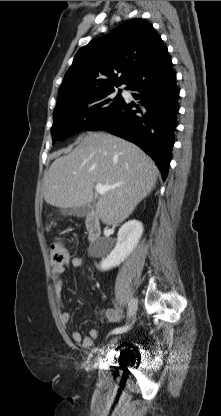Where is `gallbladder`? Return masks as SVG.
I'll return each mask as SVG.
<instances>
[{"label":"gallbladder","mask_w":221,"mask_h":416,"mask_svg":"<svg viewBox=\"0 0 221 416\" xmlns=\"http://www.w3.org/2000/svg\"><path fill=\"white\" fill-rule=\"evenodd\" d=\"M94 205H95V201L92 200L90 203H87V204L82 205V206L77 207V208H71L69 210L63 209V210H61V213L63 215H73V216H77V217H83V216H86L87 214H89L91 212Z\"/></svg>","instance_id":"1"}]
</instances>
